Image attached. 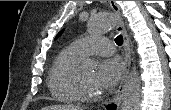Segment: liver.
<instances>
[{"instance_id":"1","label":"liver","mask_w":171,"mask_h":110,"mask_svg":"<svg viewBox=\"0 0 171 110\" xmlns=\"http://www.w3.org/2000/svg\"><path fill=\"white\" fill-rule=\"evenodd\" d=\"M42 110H83V108L73 105H53V106H46L42 108Z\"/></svg>"}]
</instances>
